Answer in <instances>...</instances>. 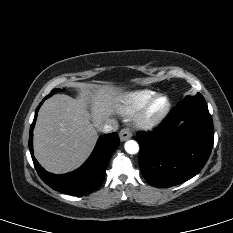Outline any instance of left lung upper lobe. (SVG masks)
I'll list each match as a JSON object with an SVG mask.
<instances>
[{"label": "left lung upper lobe", "mask_w": 233, "mask_h": 233, "mask_svg": "<svg viewBox=\"0 0 233 233\" xmlns=\"http://www.w3.org/2000/svg\"><path fill=\"white\" fill-rule=\"evenodd\" d=\"M187 97H192V96H187ZM186 97V98H187ZM193 97H200V98H203V96L200 94V93H197V95L196 96H193Z\"/></svg>", "instance_id": "left-lung-upper-lobe-1"}]
</instances>
